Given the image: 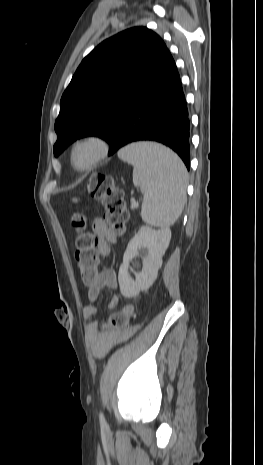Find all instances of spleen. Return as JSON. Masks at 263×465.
Listing matches in <instances>:
<instances>
[{
  "instance_id": "spleen-1",
  "label": "spleen",
  "mask_w": 263,
  "mask_h": 465,
  "mask_svg": "<svg viewBox=\"0 0 263 465\" xmlns=\"http://www.w3.org/2000/svg\"><path fill=\"white\" fill-rule=\"evenodd\" d=\"M118 156L133 165V183L144 189L143 221L161 228L173 225L185 203L188 175L182 160L154 143H133Z\"/></svg>"
}]
</instances>
